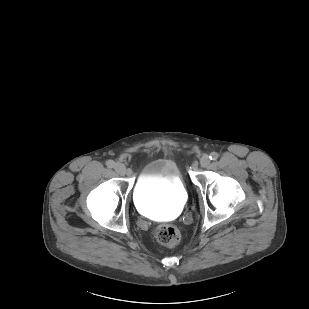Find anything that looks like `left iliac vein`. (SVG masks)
Instances as JSON below:
<instances>
[{
	"mask_svg": "<svg viewBox=\"0 0 309 309\" xmlns=\"http://www.w3.org/2000/svg\"><path fill=\"white\" fill-rule=\"evenodd\" d=\"M210 164V158L207 154L203 155L200 159L201 167H207Z\"/></svg>",
	"mask_w": 309,
	"mask_h": 309,
	"instance_id": "1",
	"label": "left iliac vein"
}]
</instances>
